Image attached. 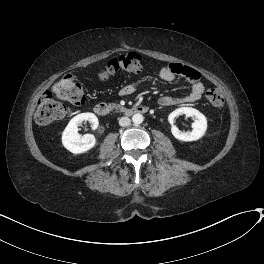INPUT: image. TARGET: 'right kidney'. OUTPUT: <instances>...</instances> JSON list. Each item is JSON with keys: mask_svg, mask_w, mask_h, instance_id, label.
<instances>
[{"mask_svg": "<svg viewBox=\"0 0 264 264\" xmlns=\"http://www.w3.org/2000/svg\"><path fill=\"white\" fill-rule=\"evenodd\" d=\"M84 121L91 123L92 129H97L99 122L98 118L93 113H81L73 117L62 134L63 146L74 154L87 152L95 146L96 139L92 134L80 135L78 126Z\"/></svg>", "mask_w": 264, "mask_h": 264, "instance_id": "obj_1", "label": "right kidney"}]
</instances>
